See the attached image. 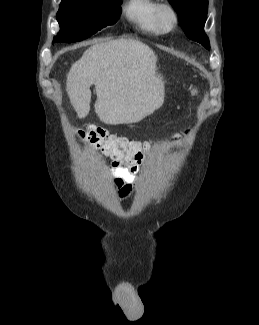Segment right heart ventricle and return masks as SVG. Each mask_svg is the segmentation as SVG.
I'll list each match as a JSON object with an SVG mask.
<instances>
[{"mask_svg": "<svg viewBox=\"0 0 259 325\" xmlns=\"http://www.w3.org/2000/svg\"><path fill=\"white\" fill-rule=\"evenodd\" d=\"M158 4L157 0H128L124 7V14L140 30L159 35L161 31L154 18Z\"/></svg>", "mask_w": 259, "mask_h": 325, "instance_id": "e07e8e85", "label": "right heart ventricle"}]
</instances>
